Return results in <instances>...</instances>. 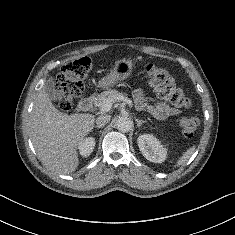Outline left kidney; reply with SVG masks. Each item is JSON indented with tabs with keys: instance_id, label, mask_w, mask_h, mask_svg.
Returning a JSON list of instances; mask_svg holds the SVG:
<instances>
[{
	"instance_id": "left-kidney-1",
	"label": "left kidney",
	"mask_w": 235,
	"mask_h": 235,
	"mask_svg": "<svg viewBox=\"0 0 235 235\" xmlns=\"http://www.w3.org/2000/svg\"><path fill=\"white\" fill-rule=\"evenodd\" d=\"M137 143L143 156L154 163H162L167 156V150L160 141L152 134H142L138 137Z\"/></svg>"
}]
</instances>
